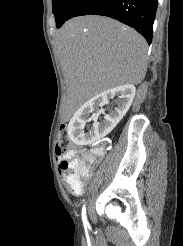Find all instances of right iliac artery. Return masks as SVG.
Returning a JSON list of instances; mask_svg holds the SVG:
<instances>
[{
	"mask_svg": "<svg viewBox=\"0 0 183 246\" xmlns=\"http://www.w3.org/2000/svg\"><path fill=\"white\" fill-rule=\"evenodd\" d=\"M82 220H83V224L85 226V228L88 226V221H87V216H86V207L85 205H83L82 208Z\"/></svg>",
	"mask_w": 183,
	"mask_h": 246,
	"instance_id": "right-iliac-artery-1",
	"label": "right iliac artery"
}]
</instances>
